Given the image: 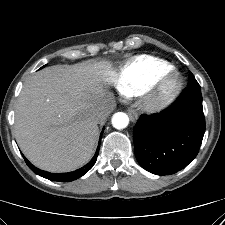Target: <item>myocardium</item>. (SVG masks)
Instances as JSON below:
<instances>
[{
  "mask_svg": "<svg viewBox=\"0 0 225 225\" xmlns=\"http://www.w3.org/2000/svg\"><path fill=\"white\" fill-rule=\"evenodd\" d=\"M182 87L178 72L169 71L161 74L142 93V109L149 113L160 112L169 107Z\"/></svg>",
  "mask_w": 225,
  "mask_h": 225,
  "instance_id": "1",
  "label": "myocardium"
}]
</instances>
